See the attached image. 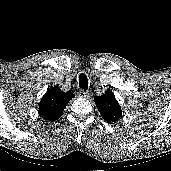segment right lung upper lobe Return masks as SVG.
Listing matches in <instances>:
<instances>
[{"instance_id":"right-lung-upper-lobe-1","label":"right lung upper lobe","mask_w":171,"mask_h":171,"mask_svg":"<svg viewBox=\"0 0 171 171\" xmlns=\"http://www.w3.org/2000/svg\"><path fill=\"white\" fill-rule=\"evenodd\" d=\"M74 97L71 92H63L60 88L51 87L39 103V115L48 121L58 120L68 102Z\"/></svg>"}]
</instances>
